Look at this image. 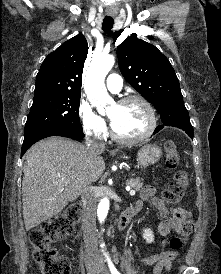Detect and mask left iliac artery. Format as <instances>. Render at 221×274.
Returning a JSON list of instances; mask_svg holds the SVG:
<instances>
[{"instance_id": "1", "label": "left iliac artery", "mask_w": 221, "mask_h": 274, "mask_svg": "<svg viewBox=\"0 0 221 274\" xmlns=\"http://www.w3.org/2000/svg\"><path fill=\"white\" fill-rule=\"evenodd\" d=\"M107 261H108V266L110 268L111 274H121L116 267L114 266V264L111 262V260L107 257Z\"/></svg>"}]
</instances>
